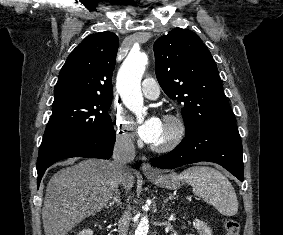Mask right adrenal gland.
<instances>
[{"label":"right adrenal gland","instance_id":"1","mask_svg":"<svg viewBox=\"0 0 283 235\" xmlns=\"http://www.w3.org/2000/svg\"><path fill=\"white\" fill-rule=\"evenodd\" d=\"M115 204H117V206H121L122 204L120 194L118 192H116V195L113 197V200L109 203V207H112Z\"/></svg>","mask_w":283,"mask_h":235}]
</instances>
